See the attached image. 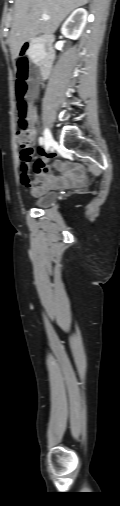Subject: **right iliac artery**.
<instances>
[{"instance_id": "1", "label": "right iliac artery", "mask_w": 120, "mask_h": 506, "mask_svg": "<svg viewBox=\"0 0 120 506\" xmlns=\"http://www.w3.org/2000/svg\"><path fill=\"white\" fill-rule=\"evenodd\" d=\"M39 145H40V146H43V145H44V138H43V137H40V138H39Z\"/></svg>"}]
</instances>
